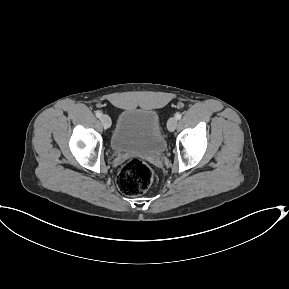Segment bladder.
<instances>
[{
    "instance_id": "31cf9c89",
    "label": "bladder",
    "mask_w": 289,
    "mask_h": 289,
    "mask_svg": "<svg viewBox=\"0 0 289 289\" xmlns=\"http://www.w3.org/2000/svg\"><path fill=\"white\" fill-rule=\"evenodd\" d=\"M110 147L117 153L162 155L167 141L158 114L143 108L123 110L111 134Z\"/></svg>"
}]
</instances>
